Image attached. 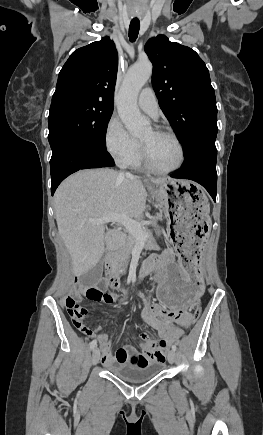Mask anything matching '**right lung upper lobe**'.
Listing matches in <instances>:
<instances>
[{
  "label": "right lung upper lobe",
  "mask_w": 263,
  "mask_h": 435,
  "mask_svg": "<svg viewBox=\"0 0 263 435\" xmlns=\"http://www.w3.org/2000/svg\"><path fill=\"white\" fill-rule=\"evenodd\" d=\"M118 54L109 37L75 50L61 69L51 106L94 101L114 104Z\"/></svg>",
  "instance_id": "cb5924a9"
}]
</instances>
